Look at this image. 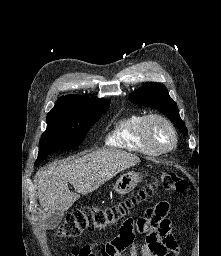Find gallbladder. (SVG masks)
<instances>
[{
	"mask_svg": "<svg viewBox=\"0 0 221 256\" xmlns=\"http://www.w3.org/2000/svg\"><path fill=\"white\" fill-rule=\"evenodd\" d=\"M64 212L62 211H56L53 214H50L46 220L45 225L48 229L55 228L63 219Z\"/></svg>",
	"mask_w": 221,
	"mask_h": 256,
	"instance_id": "gallbladder-1",
	"label": "gallbladder"
}]
</instances>
